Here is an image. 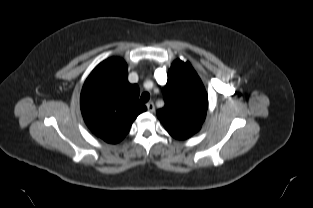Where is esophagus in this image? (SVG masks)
Wrapping results in <instances>:
<instances>
[{
    "instance_id": "esophagus-1",
    "label": "esophagus",
    "mask_w": 313,
    "mask_h": 208,
    "mask_svg": "<svg viewBox=\"0 0 313 208\" xmlns=\"http://www.w3.org/2000/svg\"><path fill=\"white\" fill-rule=\"evenodd\" d=\"M146 106H147V109H148L149 112H154L155 111V105H154L153 102L147 103Z\"/></svg>"
}]
</instances>
